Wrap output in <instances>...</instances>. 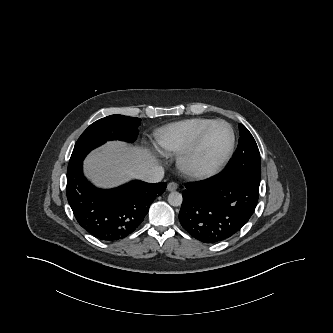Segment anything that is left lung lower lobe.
I'll list each match as a JSON object with an SVG mask.
<instances>
[{
    "label": "left lung lower lobe",
    "mask_w": 333,
    "mask_h": 333,
    "mask_svg": "<svg viewBox=\"0 0 333 333\" xmlns=\"http://www.w3.org/2000/svg\"><path fill=\"white\" fill-rule=\"evenodd\" d=\"M179 213L182 227L203 243H217L237 233L252 216L259 185L233 174L186 184Z\"/></svg>",
    "instance_id": "obj_1"
}]
</instances>
